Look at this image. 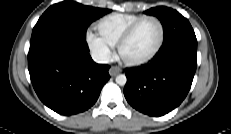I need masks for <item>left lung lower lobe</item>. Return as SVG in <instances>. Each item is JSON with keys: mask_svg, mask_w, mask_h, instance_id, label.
<instances>
[{"mask_svg": "<svg viewBox=\"0 0 231 134\" xmlns=\"http://www.w3.org/2000/svg\"><path fill=\"white\" fill-rule=\"evenodd\" d=\"M197 66V40L162 48L150 64L126 69L124 95L136 110L163 116L181 104L191 87Z\"/></svg>", "mask_w": 231, "mask_h": 134, "instance_id": "left-lung-lower-lobe-1", "label": "left lung lower lobe"}]
</instances>
